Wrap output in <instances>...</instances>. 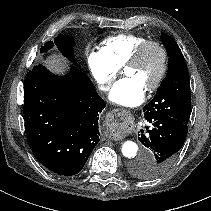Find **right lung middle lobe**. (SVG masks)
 <instances>
[{"label": "right lung middle lobe", "mask_w": 211, "mask_h": 211, "mask_svg": "<svg viewBox=\"0 0 211 211\" xmlns=\"http://www.w3.org/2000/svg\"><path fill=\"white\" fill-rule=\"evenodd\" d=\"M54 43L56 44L58 49L63 53L64 56L70 58V60L75 61V58L73 56V46L75 44L73 38L68 35H59L54 39ZM52 46V41L46 42L45 45L42 47L41 51L46 52Z\"/></svg>", "instance_id": "dd1d6c3e"}]
</instances>
